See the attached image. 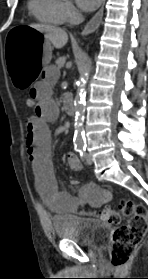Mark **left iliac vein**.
Here are the masks:
<instances>
[{
  "label": "left iliac vein",
  "instance_id": "4c4485c4",
  "mask_svg": "<svg viewBox=\"0 0 148 279\" xmlns=\"http://www.w3.org/2000/svg\"><path fill=\"white\" fill-rule=\"evenodd\" d=\"M86 162L88 165H92L93 160L90 154H85Z\"/></svg>",
  "mask_w": 148,
  "mask_h": 279
}]
</instances>
